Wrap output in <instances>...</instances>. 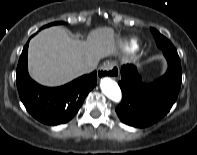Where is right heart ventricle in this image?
<instances>
[{"instance_id":"right-heart-ventricle-1","label":"right heart ventricle","mask_w":197,"mask_h":155,"mask_svg":"<svg viewBox=\"0 0 197 155\" xmlns=\"http://www.w3.org/2000/svg\"><path fill=\"white\" fill-rule=\"evenodd\" d=\"M130 46H131L132 48H135V47H136V43H135V42H132V43L130 44Z\"/></svg>"}]
</instances>
